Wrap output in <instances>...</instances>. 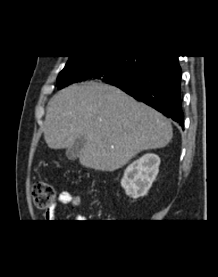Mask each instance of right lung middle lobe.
<instances>
[{"instance_id":"1","label":"right lung middle lobe","mask_w":218,"mask_h":277,"mask_svg":"<svg viewBox=\"0 0 218 277\" xmlns=\"http://www.w3.org/2000/svg\"><path fill=\"white\" fill-rule=\"evenodd\" d=\"M151 56H70L65 68L60 72L58 88L83 80L87 73H96L110 84L126 83L143 69Z\"/></svg>"}]
</instances>
